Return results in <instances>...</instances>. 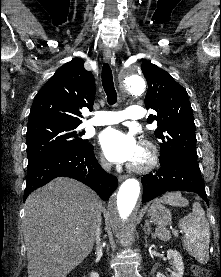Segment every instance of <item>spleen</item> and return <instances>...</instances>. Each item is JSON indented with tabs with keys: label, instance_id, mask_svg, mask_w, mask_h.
<instances>
[{
	"label": "spleen",
	"instance_id": "obj_1",
	"mask_svg": "<svg viewBox=\"0 0 221 277\" xmlns=\"http://www.w3.org/2000/svg\"><path fill=\"white\" fill-rule=\"evenodd\" d=\"M158 202L179 207L189 204L180 192L167 193L160 197ZM179 227L185 233L184 244L188 253L199 263L206 264L209 259L210 228L200 204L193 205L192 213L179 221ZM156 236L164 241L171 238L170 232L162 227L156 228Z\"/></svg>",
	"mask_w": 221,
	"mask_h": 277
}]
</instances>
